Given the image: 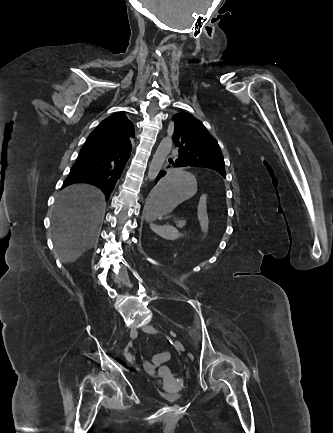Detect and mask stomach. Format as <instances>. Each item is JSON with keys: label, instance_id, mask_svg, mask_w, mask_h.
Here are the masks:
<instances>
[{"label": "stomach", "instance_id": "obj_1", "mask_svg": "<svg viewBox=\"0 0 333 433\" xmlns=\"http://www.w3.org/2000/svg\"><path fill=\"white\" fill-rule=\"evenodd\" d=\"M197 191L196 180L186 169H171L170 174L159 177V183H152L145 201L144 220H165L172 215L178 204L193 199Z\"/></svg>", "mask_w": 333, "mask_h": 433}]
</instances>
